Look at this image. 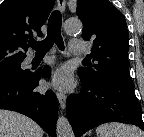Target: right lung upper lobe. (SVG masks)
I'll use <instances>...</instances> for the list:
<instances>
[{
    "label": "right lung upper lobe",
    "instance_id": "obj_1",
    "mask_svg": "<svg viewBox=\"0 0 144 137\" xmlns=\"http://www.w3.org/2000/svg\"><path fill=\"white\" fill-rule=\"evenodd\" d=\"M55 0H5L0 5V70L21 63L32 33L42 36Z\"/></svg>",
    "mask_w": 144,
    "mask_h": 137
}]
</instances>
